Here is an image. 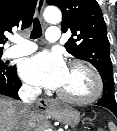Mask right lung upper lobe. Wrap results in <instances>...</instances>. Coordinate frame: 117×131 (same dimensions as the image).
<instances>
[{"mask_svg":"<svg viewBox=\"0 0 117 131\" xmlns=\"http://www.w3.org/2000/svg\"><path fill=\"white\" fill-rule=\"evenodd\" d=\"M37 0H0V52L7 38L4 32L24 30L32 23Z\"/></svg>","mask_w":117,"mask_h":131,"instance_id":"cb5924a9","label":"right lung upper lobe"}]
</instances>
